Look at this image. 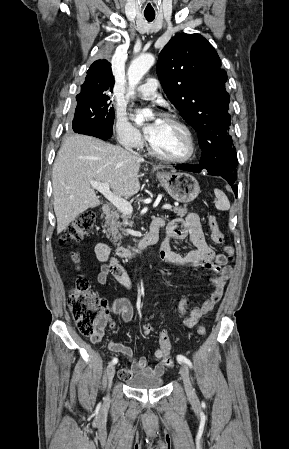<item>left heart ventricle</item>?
<instances>
[{
	"instance_id": "b2bd125f",
	"label": "left heart ventricle",
	"mask_w": 289,
	"mask_h": 449,
	"mask_svg": "<svg viewBox=\"0 0 289 449\" xmlns=\"http://www.w3.org/2000/svg\"><path fill=\"white\" fill-rule=\"evenodd\" d=\"M148 139L156 151L166 156L181 157L189 150L183 130L163 119H159Z\"/></svg>"
}]
</instances>
